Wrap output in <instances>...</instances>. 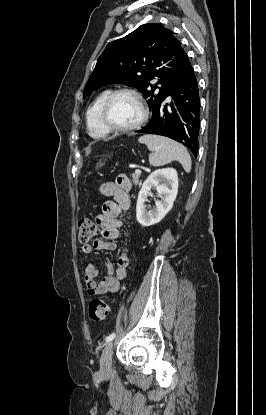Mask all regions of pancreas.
<instances>
[{"label": "pancreas", "instance_id": "obj_1", "mask_svg": "<svg viewBox=\"0 0 266 415\" xmlns=\"http://www.w3.org/2000/svg\"><path fill=\"white\" fill-rule=\"evenodd\" d=\"M139 178H140V174H136V173L132 174V180L135 185L139 183Z\"/></svg>", "mask_w": 266, "mask_h": 415}]
</instances>
